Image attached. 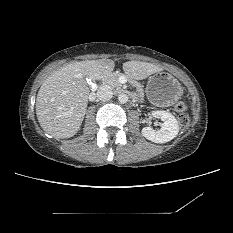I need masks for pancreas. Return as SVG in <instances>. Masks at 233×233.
<instances>
[{"label":"pancreas","instance_id":"1","mask_svg":"<svg viewBox=\"0 0 233 233\" xmlns=\"http://www.w3.org/2000/svg\"><path fill=\"white\" fill-rule=\"evenodd\" d=\"M122 74L119 72H115L112 74L107 75L106 79H105V83L108 84L110 87L112 88H118L120 89L122 87V84L119 82V77ZM131 83L136 87V90L139 94L143 93V89L142 86L135 82V81H131Z\"/></svg>","mask_w":233,"mask_h":233}]
</instances>
